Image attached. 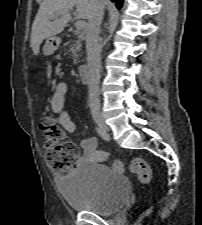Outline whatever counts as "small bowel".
I'll list each match as a JSON object with an SVG mask.
<instances>
[{
    "instance_id": "c3829d8e",
    "label": "small bowel",
    "mask_w": 202,
    "mask_h": 225,
    "mask_svg": "<svg viewBox=\"0 0 202 225\" xmlns=\"http://www.w3.org/2000/svg\"><path fill=\"white\" fill-rule=\"evenodd\" d=\"M68 86L65 82H58L55 92L50 99V108L57 116L59 125L68 133L76 131V125L70 115L64 111L65 97ZM82 149L81 159H86L95 163H104L107 159V152L97 149L95 137H85L80 141Z\"/></svg>"
}]
</instances>
